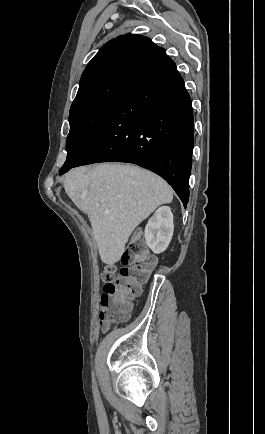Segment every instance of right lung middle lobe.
I'll list each match as a JSON object with an SVG mask.
<instances>
[{
    "mask_svg": "<svg viewBox=\"0 0 265 434\" xmlns=\"http://www.w3.org/2000/svg\"><path fill=\"white\" fill-rule=\"evenodd\" d=\"M134 76L116 74L79 87L70 109L67 158L60 174L76 164L89 149Z\"/></svg>",
    "mask_w": 265,
    "mask_h": 434,
    "instance_id": "1",
    "label": "right lung middle lobe"
}]
</instances>
